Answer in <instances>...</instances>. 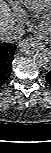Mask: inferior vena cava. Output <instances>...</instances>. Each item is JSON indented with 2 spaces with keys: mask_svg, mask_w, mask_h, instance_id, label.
<instances>
[{
  "mask_svg": "<svg viewBox=\"0 0 51 153\" xmlns=\"http://www.w3.org/2000/svg\"><path fill=\"white\" fill-rule=\"evenodd\" d=\"M24 34V29L21 25H10L0 31L2 41L14 43Z\"/></svg>",
  "mask_w": 51,
  "mask_h": 153,
  "instance_id": "1",
  "label": "inferior vena cava"
}]
</instances>
